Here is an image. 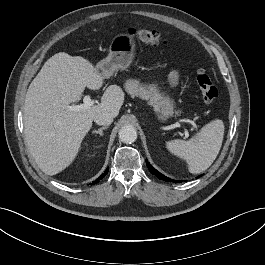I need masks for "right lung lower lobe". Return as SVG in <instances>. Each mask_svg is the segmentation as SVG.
Segmentation results:
<instances>
[{
    "mask_svg": "<svg viewBox=\"0 0 265 265\" xmlns=\"http://www.w3.org/2000/svg\"><path fill=\"white\" fill-rule=\"evenodd\" d=\"M107 172H108V168L105 170V172L98 179H96L94 182H92L91 185L98 183L99 180H101L103 177L106 176Z\"/></svg>",
    "mask_w": 265,
    "mask_h": 265,
    "instance_id": "1",
    "label": "right lung lower lobe"
}]
</instances>
